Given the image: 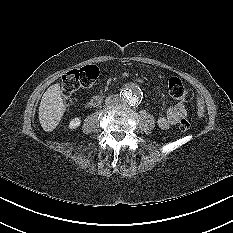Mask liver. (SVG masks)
<instances>
[{"label":"liver","mask_w":233,"mask_h":233,"mask_svg":"<svg viewBox=\"0 0 233 233\" xmlns=\"http://www.w3.org/2000/svg\"><path fill=\"white\" fill-rule=\"evenodd\" d=\"M65 112V104L63 102L60 85H51L43 94L39 106V121L46 132L53 131Z\"/></svg>","instance_id":"liver-1"}]
</instances>
